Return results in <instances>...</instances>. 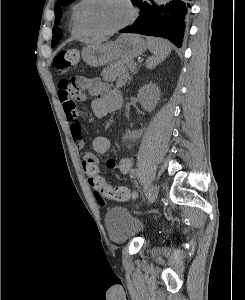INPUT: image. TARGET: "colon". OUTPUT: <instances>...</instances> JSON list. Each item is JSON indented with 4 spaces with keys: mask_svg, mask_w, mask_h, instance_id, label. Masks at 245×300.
Wrapping results in <instances>:
<instances>
[{
    "mask_svg": "<svg viewBox=\"0 0 245 300\" xmlns=\"http://www.w3.org/2000/svg\"><path fill=\"white\" fill-rule=\"evenodd\" d=\"M78 61L79 54L76 50L61 51L54 58V68L58 73L64 74L75 66ZM67 85L74 90L81 89L79 79L67 80ZM89 182L95 191L98 202L102 206L105 205V198L116 201H127L137 197L136 192L131 191L127 187L108 185L99 175L91 176Z\"/></svg>",
    "mask_w": 245,
    "mask_h": 300,
    "instance_id": "5ec220e1",
    "label": "colon"
}]
</instances>
